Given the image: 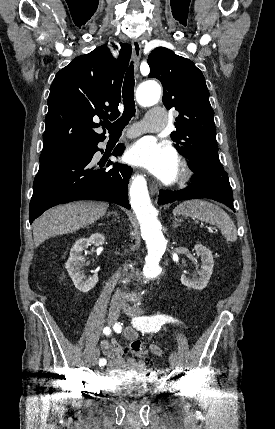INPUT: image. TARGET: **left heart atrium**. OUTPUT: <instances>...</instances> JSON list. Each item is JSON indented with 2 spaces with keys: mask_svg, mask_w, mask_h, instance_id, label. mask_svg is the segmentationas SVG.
Here are the masks:
<instances>
[{
  "mask_svg": "<svg viewBox=\"0 0 275 429\" xmlns=\"http://www.w3.org/2000/svg\"><path fill=\"white\" fill-rule=\"evenodd\" d=\"M127 162L146 167L163 181H172L177 174L178 161L174 150L164 143L141 140L126 153Z\"/></svg>",
  "mask_w": 275,
  "mask_h": 429,
  "instance_id": "1",
  "label": "left heart atrium"
}]
</instances>
